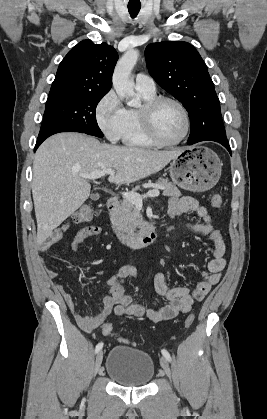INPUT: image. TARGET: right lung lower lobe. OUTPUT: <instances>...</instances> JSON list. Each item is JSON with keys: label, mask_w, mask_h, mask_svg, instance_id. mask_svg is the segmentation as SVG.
Returning <instances> with one entry per match:
<instances>
[{"label": "right lung lower lobe", "mask_w": 267, "mask_h": 419, "mask_svg": "<svg viewBox=\"0 0 267 419\" xmlns=\"http://www.w3.org/2000/svg\"><path fill=\"white\" fill-rule=\"evenodd\" d=\"M72 130L50 122H43L40 128V133L38 135V139L34 148V151L39 147V145L49 136L59 133V132H71Z\"/></svg>", "instance_id": "1"}]
</instances>
